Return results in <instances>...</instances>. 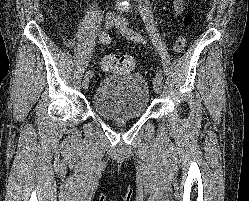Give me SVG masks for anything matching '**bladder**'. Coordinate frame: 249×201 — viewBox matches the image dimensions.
<instances>
[{
    "mask_svg": "<svg viewBox=\"0 0 249 201\" xmlns=\"http://www.w3.org/2000/svg\"><path fill=\"white\" fill-rule=\"evenodd\" d=\"M148 104V85L138 73L105 76L92 97L96 114L113 121L140 118L146 113Z\"/></svg>",
    "mask_w": 249,
    "mask_h": 201,
    "instance_id": "bladder-1",
    "label": "bladder"
}]
</instances>
